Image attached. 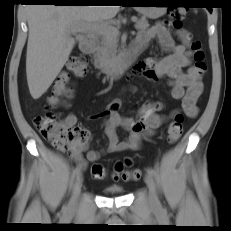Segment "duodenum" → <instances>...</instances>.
Returning a JSON list of instances; mask_svg holds the SVG:
<instances>
[{
	"label": "duodenum",
	"instance_id": "duodenum-1",
	"mask_svg": "<svg viewBox=\"0 0 231 231\" xmlns=\"http://www.w3.org/2000/svg\"><path fill=\"white\" fill-rule=\"evenodd\" d=\"M98 46L95 36H88L81 42V50L86 54H92ZM136 57V51H128L122 59L111 69L113 75H119L123 69L130 67Z\"/></svg>",
	"mask_w": 231,
	"mask_h": 231
}]
</instances>
